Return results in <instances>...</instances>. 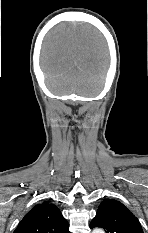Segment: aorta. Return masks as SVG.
<instances>
[{
  "mask_svg": "<svg viewBox=\"0 0 148 233\" xmlns=\"http://www.w3.org/2000/svg\"><path fill=\"white\" fill-rule=\"evenodd\" d=\"M93 233H104V231L102 229H95Z\"/></svg>",
  "mask_w": 148,
  "mask_h": 233,
  "instance_id": "obj_1",
  "label": "aorta"
}]
</instances>
